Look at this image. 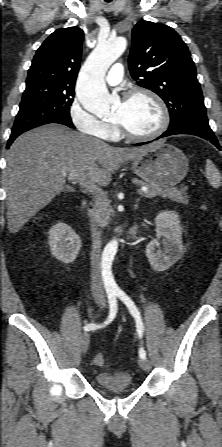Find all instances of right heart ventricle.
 <instances>
[{"instance_id": "obj_1", "label": "right heart ventricle", "mask_w": 222, "mask_h": 447, "mask_svg": "<svg viewBox=\"0 0 222 447\" xmlns=\"http://www.w3.org/2000/svg\"><path fill=\"white\" fill-rule=\"evenodd\" d=\"M108 124V128L106 130V132L104 133V135H102L101 137L109 139V140H116L119 138V132L116 129V127L113 124Z\"/></svg>"}]
</instances>
